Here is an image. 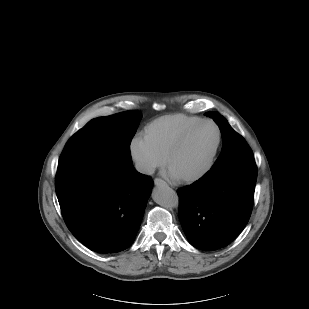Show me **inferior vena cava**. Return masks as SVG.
Wrapping results in <instances>:
<instances>
[{
	"instance_id": "obj_1",
	"label": "inferior vena cava",
	"mask_w": 309,
	"mask_h": 309,
	"mask_svg": "<svg viewBox=\"0 0 309 309\" xmlns=\"http://www.w3.org/2000/svg\"><path fill=\"white\" fill-rule=\"evenodd\" d=\"M135 168L138 172L152 175L155 172V168L149 164L138 162L135 164Z\"/></svg>"
}]
</instances>
